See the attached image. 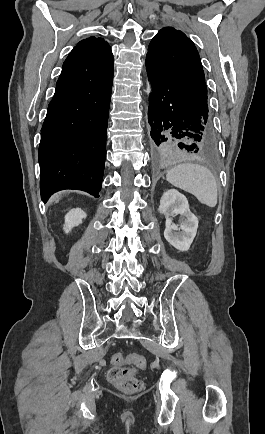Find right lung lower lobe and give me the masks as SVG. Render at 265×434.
I'll return each mask as SVG.
<instances>
[{
  "instance_id": "right-lung-lower-lobe-1",
  "label": "right lung lower lobe",
  "mask_w": 265,
  "mask_h": 434,
  "mask_svg": "<svg viewBox=\"0 0 265 434\" xmlns=\"http://www.w3.org/2000/svg\"><path fill=\"white\" fill-rule=\"evenodd\" d=\"M113 69L110 49L75 46L65 60L41 129L38 159L44 202L62 189L99 197Z\"/></svg>"
}]
</instances>
